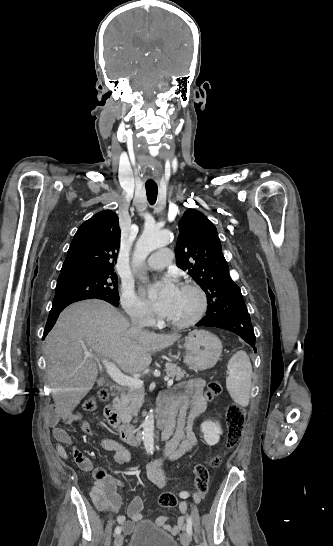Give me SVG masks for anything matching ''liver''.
Listing matches in <instances>:
<instances>
[{
	"mask_svg": "<svg viewBox=\"0 0 333 546\" xmlns=\"http://www.w3.org/2000/svg\"><path fill=\"white\" fill-rule=\"evenodd\" d=\"M180 337L133 332L129 321L101 300L71 304L45 340L46 373L57 414L63 419L68 417L96 381L97 363L84 357V351L111 359L124 372L135 374L149 367L152 353ZM103 383L101 379L98 385Z\"/></svg>",
	"mask_w": 333,
	"mask_h": 546,
	"instance_id": "6515ba94",
	"label": "liver"
}]
</instances>
